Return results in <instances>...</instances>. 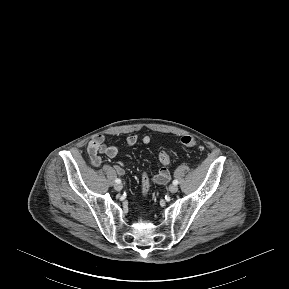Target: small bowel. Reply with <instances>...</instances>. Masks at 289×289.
<instances>
[{
	"label": "small bowel",
	"mask_w": 289,
	"mask_h": 289,
	"mask_svg": "<svg viewBox=\"0 0 289 289\" xmlns=\"http://www.w3.org/2000/svg\"><path fill=\"white\" fill-rule=\"evenodd\" d=\"M139 140V137L136 134H132L127 137L125 141V145L128 147L134 146ZM141 142L145 145L149 144L151 142V138L147 135L143 136L141 138ZM121 145L118 143H105V138L103 135H96L88 144V154L93 162L94 165L98 166L101 163L100 155L103 154L107 156L108 158H116L120 152ZM115 171L119 175L124 174V169L120 165L115 166ZM172 178L170 176V173L166 167H161L159 172L150 179L148 176V182L149 186L151 184L156 185H163V184H169L171 183Z\"/></svg>",
	"instance_id": "1"
}]
</instances>
